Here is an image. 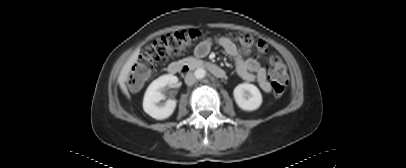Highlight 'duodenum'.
<instances>
[{
	"label": "duodenum",
	"instance_id": "1",
	"mask_svg": "<svg viewBox=\"0 0 406 168\" xmlns=\"http://www.w3.org/2000/svg\"><path fill=\"white\" fill-rule=\"evenodd\" d=\"M193 68H206L219 79H223L226 76L225 71L220 66L210 61L172 62L168 65L167 71L170 74L187 73Z\"/></svg>",
	"mask_w": 406,
	"mask_h": 168
}]
</instances>
